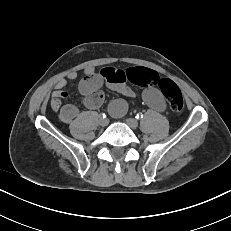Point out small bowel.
Returning a JSON list of instances; mask_svg holds the SVG:
<instances>
[{
    "instance_id": "1",
    "label": "small bowel",
    "mask_w": 231,
    "mask_h": 231,
    "mask_svg": "<svg viewBox=\"0 0 231 231\" xmlns=\"http://www.w3.org/2000/svg\"><path fill=\"white\" fill-rule=\"evenodd\" d=\"M75 71L67 73L59 79L51 94L50 106L58 112L59 119L65 123H71L79 114L78 108L73 104L62 105V100L68 97L64 90L70 81L77 78ZM126 72L114 68H102L99 71L91 67L84 69V77L79 83V91L83 96V104L86 108L94 110L104 102V94L101 88L107 85L113 91L120 93L126 98H134L135 92L128 86ZM142 99L147 106L157 111H164L166 103L162 92L156 88L148 87L142 92ZM110 113L115 117L125 114L127 107L123 100L112 102L109 106Z\"/></svg>"
}]
</instances>
